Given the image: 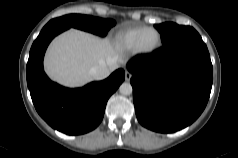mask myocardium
<instances>
[{
    "label": "myocardium",
    "mask_w": 238,
    "mask_h": 158,
    "mask_svg": "<svg viewBox=\"0 0 238 158\" xmlns=\"http://www.w3.org/2000/svg\"><path fill=\"white\" fill-rule=\"evenodd\" d=\"M148 31H154L157 34L158 39H157V42L154 46H152L151 48L146 49L142 46V39ZM160 45H161L160 32L157 29L153 28V27H146L137 36L136 41H135V45H134V50H135V52H137L139 54H151L154 51H156L160 47Z\"/></svg>",
    "instance_id": "myocardium-1"
}]
</instances>
